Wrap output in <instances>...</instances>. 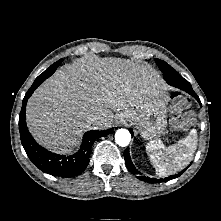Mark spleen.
<instances>
[{
    "mask_svg": "<svg viewBox=\"0 0 221 221\" xmlns=\"http://www.w3.org/2000/svg\"><path fill=\"white\" fill-rule=\"evenodd\" d=\"M197 147V132L192 129L189 135L177 144L164 146L156 141L146 144V152L156 169V174L165 176L174 174L187 166Z\"/></svg>",
    "mask_w": 221,
    "mask_h": 221,
    "instance_id": "1",
    "label": "spleen"
}]
</instances>
